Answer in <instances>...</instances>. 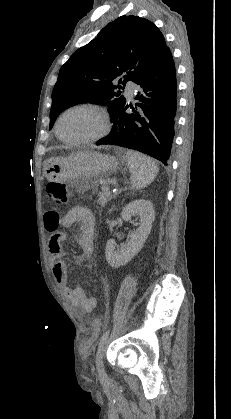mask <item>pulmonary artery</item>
<instances>
[{
	"label": "pulmonary artery",
	"instance_id": "pulmonary-artery-1",
	"mask_svg": "<svg viewBox=\"0 0 231 419\" xmlns=\"http://www.w3.org/2000/svg\"><path fill=\"white\" fill-rule=\"evenodd\" d=\"M135 87H136V85L133 81H128L126 83L125 94H126L127 98H129V99L133 98Z\"/></svg>",
	"mask_w": 231,
	"mask_h": 419
}]
</instances>
